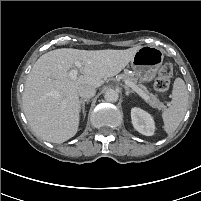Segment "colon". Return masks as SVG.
<instances>
[{"mask_svg": "<svg viewBox=\"0 0 201 201\" xmlns=\"http://www.w3.org/2000/svg\"><path fill=\"white\" fill-rule=\"evenodd\" d=\"M172 74L173 68L170 64L166 63L160 68L154 83V87L158 93L165 94L168 91Z\"/></svg>", "mask_w": 201, "mask_h": 201, "instance_id": "1", "label": "colon"}]
</instances>
